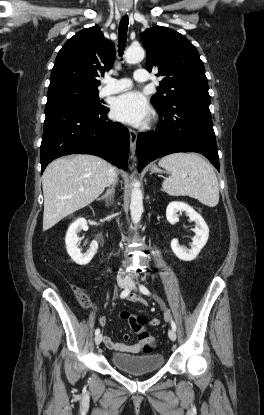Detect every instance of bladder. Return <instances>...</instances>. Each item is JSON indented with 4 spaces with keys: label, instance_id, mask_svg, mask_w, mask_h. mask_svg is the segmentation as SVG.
Listing matches in <instances>:
<instances>
[{
    "label": "bladder",
    "instance_id": "bladder-1",
    "mask_svg": "<svg viewBox=\"0 0 264 415\" xmlns=\"http://www.w3.org/2000/svg\"><path fill=\"white\" fill-rule=\"evenodd\" d=\"M112 364L130 374H142L161 369L165 363L163 354L145 353L142 355H130L115 353L111 356Z\"/></svg>",
    "mask_w": 264,
    "mask_h": 415
}]
</instances>
